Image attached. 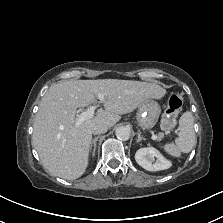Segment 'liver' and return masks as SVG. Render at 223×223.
<instances>
[{"label":"liver","mask_w":223,"mask_h":223,"mask_svg":"<svg viewBox=\"0 0 223 223\" xmlns=\"http://www.w3.org/2000/svg\"><path fill=\"white\" fill-rule=\"evenodd\" d=\"M99 94L104 95V109L76 126L77 109L94 103ZM165 94L166 90L156 83L118 79L61 81L41 99L33 123L32 145L52 176L75 180L88 166L93 125L111 128L120 115Z\"/></svg>","instance_id":"6515ba94"}]
</instances>
